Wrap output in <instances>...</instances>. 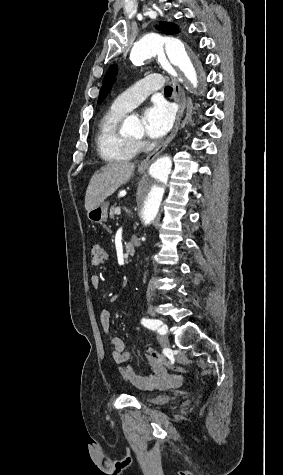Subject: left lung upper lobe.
Wrapping results in <instances>:
<instances>
[{
    "label": "left lung upper lobe",
    "mask_w": 283,
    "mask_h": 475,
    "mask_svg": "<svg viewBox=\"0 0 283 475\" xmlns=\"http://www.w3.org/2000/svg\"><path fill=\"white\" fill-rule=\"evenodd\" d=\"M158 30L164 32L166 34H176L178 33V27L174 23H167V22H160L158 26H156ZM117 73V66H111L106 73V76L103 80V86L100 90L98 103H101L110 92L113 82L115 81L114 76Z\"/></svg>",
    "instance_id": "obj_1"
}]
</instances>
